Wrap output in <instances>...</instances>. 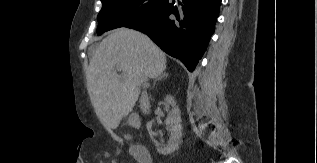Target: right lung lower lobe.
Masks as SVG:
<instances>
[{
	"mask_svg": "<svg viewBox=\"0 0 317 163\" xmlns=\"http://www.w3.org/2000/svg\"><path fill=\"white\" fill-rule=\"evenodd\" d=\"M220 4L221 0H165L152 13L125 27L147 34L192 72L206 50Z\"/></svg>",
	"mask_w": 317,
	"mask_h": 163,
	"instance_id": "1",
	"label": "right lung lower lobe"
}]
</instances>
